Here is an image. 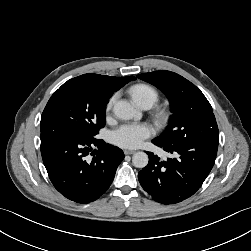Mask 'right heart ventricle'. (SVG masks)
<instances>
[{"instance_id": "1", "label": "right heart ventricle", "mask_w": 251, "mask_h": 251, "mask_svg": "<svg viewBox=\"0 0 251 251\" xmlns=\"http://www.w3.org/2000/svg\"><path fill=\"white\" fill-rule=\"evenodd\" d=\"M130 93L139 106L142 104L153 106L159 98L157 90L148 84H137L130 89Z\"/></svg>"}]
</instances>
